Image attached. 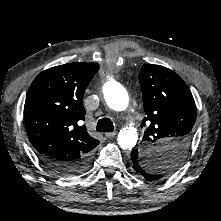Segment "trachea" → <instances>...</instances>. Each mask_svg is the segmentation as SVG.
<instances>
[{"label":"trachea","mask_w":221,"mask_h":221,"mask_svg":"<svg viewBox=\"0 0 221 221\" xmlns=\"http://www.w3.org/2000/svg\"><path fill=\"white\" fill-rule=\"evenodd\" d=\"M96 130L99 132H113V122L109 118H102L97 122Z\"/></svg>","instance_id":"3493384b"}]
</instances>
